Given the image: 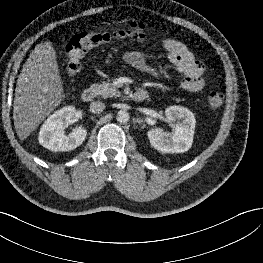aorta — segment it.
Here are the masks:
<instances>
[{"label":"aorta","mask_w":263,"mask_h":263,"mask_svg":"<svg viewBox=\"0 0 263 263\" xmlns=\"http://www.w3.org/2000/svg\"><path fill=\"white\" fill-rule=\"evenodd\" d=\"M129 113L125 110H120L117 113L116 119L119 123H127L129 121Z\"/></svg>","instance_id":"aorta-1"}]
</instances>
